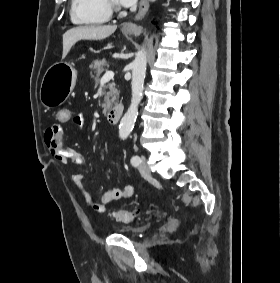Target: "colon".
Returning <instances> with one entry per match:
<instances>
[{"label": "colon", "mask_w": 280, "mask_h": 283, "mask_svg": "<svg viewBox=\"0 0 280 283\" xmlns=\"http://www.w3.org/2000/svg\"><path fill=\"white\" fill-rule=\"evenodd\" d=\"M71 108L61 107L56 109L55 119L59 125H68L71 122ZM139 216L138 211L118 210L113 214V217L122 222H131Z\"/></svg>", "instance_id": "5ec220e1"}]
</instances>
